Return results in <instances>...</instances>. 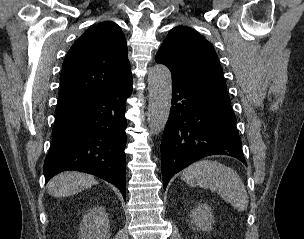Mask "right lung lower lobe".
<instances>
[{
	"instance_id": "98d812e1",
	"label": "right lung lower lobe",
	"mask_w": 304,
	"mask_h": 239,
	"mask_svg": "<svg viewBox=\"0 0 304 239\" xmlns=\"http://www.w3.org/2000/svg\"><path fill=\"white\" fill-rule=\"evenodd\" d=\"M132 76L73 107L56 111L52 144L44 162L45 181L66 170L98 176L117 186L124 200L126 99Z\"/></svg>"
}]
</instances>
